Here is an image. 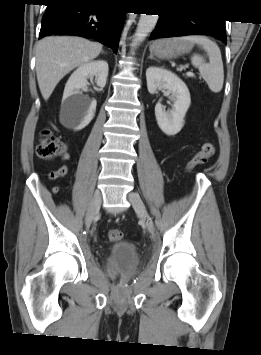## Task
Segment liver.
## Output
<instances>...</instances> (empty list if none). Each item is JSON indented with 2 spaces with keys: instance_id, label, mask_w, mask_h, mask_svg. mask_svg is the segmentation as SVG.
<instances>
[{
  "instance_id": "liver-1",
  "label": "liver",
  "mask_w": 261,
  "mask_h": 355,
  "mask_svg": "<svg viewBox=\"0 0 261 355\" xmlns=\"http://www.w3.org/2000/svg\"><path fill=\"white\" fill-rule=\"evenodd\" d=\"M100 43L81 37L50 36L36 48L37 81L44 100H48L59 81L74 68L95 59Z\"/></svg>"
}]
</instances>
